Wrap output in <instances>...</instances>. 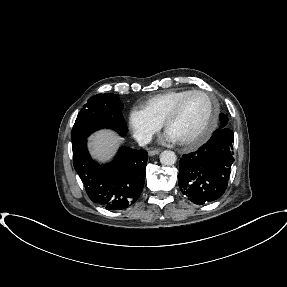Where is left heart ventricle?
Returning a JSON list of instances; mask_svg holds the SVG:
<instances>
[{
    "label": "left heart ventricle",
    "mask_w": 287,
    "mask_h": 287,
    "mask_svg": "<svg viewBox=\"0 0 287 287\" xmlns=\"http://www.w3.org/2000/svg\"><path fill=\"white\" fill-rule=\"evenodd\" d=\"M210 114V103L203 95H193L182 106L178 116L169 123L166 133L176 142L199 135L206 127Z\"/></svg>",
    "instance_id": "obj_1"
}]
</instances>
